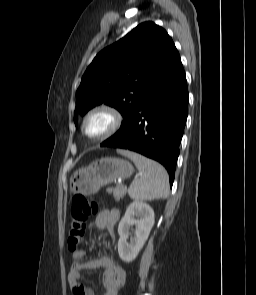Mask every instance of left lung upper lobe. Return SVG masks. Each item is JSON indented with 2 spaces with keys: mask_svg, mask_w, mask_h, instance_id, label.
Here are the masks:
<instances>
[{
  "mask_svg": "<svg viewBox=\"0 0 256 295\" xmlns=\"http://www.w3.org/2000/svg\"><path fill=\"white\" fill-rule=\"evenodd\" d=\"M181 62L167 32L153 22L138 25L103 49L85 71L76 92V116L105 103L123 116V124L146 95Z\"/></svg>",
  "mask_w": 256,
  "mask_h": 295,
  "instance_id": "5c2ea615",
  "label": "left lung upper lobe"
}]
</instances>
